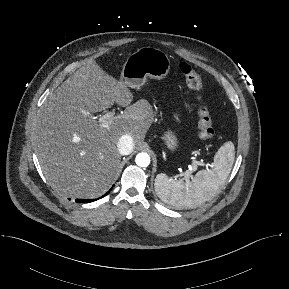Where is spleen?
Listing matches in <instances>:
<instances>
[{
    "mask_svg": "<svg viewBox=\"0 0 289 289\" xmlns=\"http://www.w3.org/2000/svg\"><path fill=\"white\" fill-rule=\"evenodd\" d=\"M235 158V147L225 142L214 156L211 169L200 170L192 180H175L166 174L155 178V191L165 203L180 208H195L210 201L225 184Z\"/></svg>",
    "mask_w": 289,
    "mask_h": 289,
    "instance_id": "obj_1",
    "label": "spleen"
}]
</instances>
